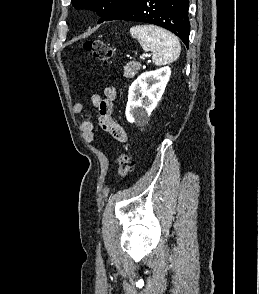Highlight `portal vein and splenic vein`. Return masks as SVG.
<instances>
[{"label":"portal vein and splenic vein","mask_w":259,"mask_h":294,"mask_svg":"<svg viewBox=\"0 0 259 294\" xmlns=\"http://www.w3.org/2000/svg\"><path fill=\"white\" fill-rule=\"evenodd\" d=\"M146 56H147L146 54H143V55L140 56V58L145 59Z\"/></svg>","instance_id":"1"}]
</instances>
